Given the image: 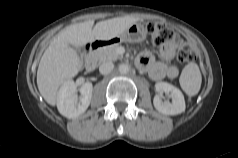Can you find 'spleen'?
Segmentation results:
<instances>
[{
    "label": "spleen",
    "mask_w": 238,
    "mask_h": 158,
    "mask_svg": "<svg viewBox=\"0 0 238 158\" xmlns=\"http://www.w3.org/2000/svg\"><path fill=\"white\" fill-rule=\"evenodd\" d=\"M202 77L196 63H188L180 76V85L188 95H196L201 87Z\"/></svg>",
    "instance_id": "spleen-1"
}]
</instances>
